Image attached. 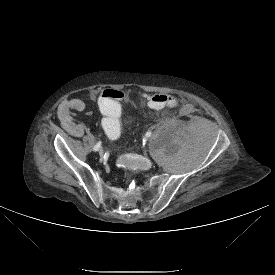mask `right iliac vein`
Listing matches in <instances>:
<instances>
[{"label":"right iliac vein","instance_id":"right-iliac-vein-1","mask_svg":"<svg viewBox=\"0 0 275 275\" xmlns=\"http://www.w3.org/2000/svg\"><path fill=\"white\" fill-rule=\"evenodd\" d=\"M98 153H99L100 156H102V155L104 154L103 149H99V150H98Z\"/></svg>","mask_w":275,"mask_h":275}]
</instances>
